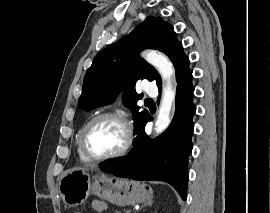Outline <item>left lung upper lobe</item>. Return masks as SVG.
Masks as SVG:
<instances>
[{"mask_svg": "<svg viewBox=\"0 0 270 213\" xmlns=\"http://www.w3.org/2000/svg\"><path fill=\"white\" fill-rule=\"evenodd\" d=\"M146 48L164 52L174 64L176 77L189 67L174 28L160 17L149 16L129 35L98 53L86 72L79 107L88 110L109 104L123 90V102L131 108L137 128L149 113L139 111L137 101L142 95L136 93V82L148 79L161 85L155 68L138 56Z\"/></svg>", "mask_w": 270, "mask_h": 213, "instance_id": "obj_1", "label": "left lung upper lobe"}]
</instances>
